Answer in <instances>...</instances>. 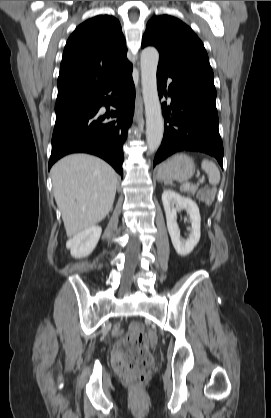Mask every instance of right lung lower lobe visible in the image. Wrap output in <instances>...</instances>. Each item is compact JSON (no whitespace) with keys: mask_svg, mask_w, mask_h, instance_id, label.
<instances>
[{"mask_svg":"<svg viewBox=\"0 0 271 418\" xmlns=\"http://www.w3.org/2000/svg\"><path fill=\"white\" fill-rule=\"evenodd\" d=\"M111 93V96H105ZM116 96V98H114ZM135 89L132 67L107 84L97 95L65 105L56 111L52 136V152L48 168L61 157L77 152L97 155L122 176V145L132 123ZM113 105L117 110L104 115L101 106ZM117 120L109 118L121 117Z\"/></svg>","mask_w":271,"mask_h":418,"instance_id":"obj_1","label":"right lung lower lobe"}]
</instances>
